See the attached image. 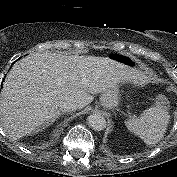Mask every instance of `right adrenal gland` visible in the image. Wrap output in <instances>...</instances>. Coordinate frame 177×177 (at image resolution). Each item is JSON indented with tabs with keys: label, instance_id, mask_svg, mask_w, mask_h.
Here are the masks:
<instances>
[{
	"label": "right adrenal gland",
	"instance_id": "right-adrenal-gland-1",
	"mask_svg": "<svg viewBox=\"0 0 177 177\" xmlns=\"http://www.w3.org/2000/svg\"><path fill=\"white\" fill-rule=\"evenodd\" d=\"M60 115H62V113L58 112L57 115H56V117H55V119L51 122V124H52Z\"/></svg>",
	"mask_w": 177,
	"mask_h": 177
}]
</instances>
